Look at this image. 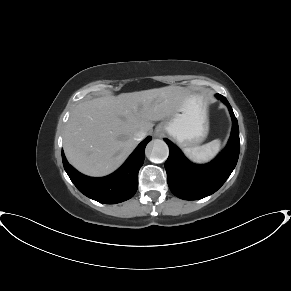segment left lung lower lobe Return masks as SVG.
<instances>
[{"mask_svg":"<svg viewBox=\"0 0 291 291\" xmlns=\"http://www.w3.org/2000/svg\"><path fill=\"white\" fill-rule=\"evenodd\" d=\"M224 102L230 111L233 126L226 148L210 163L196 165L191 163L168 139L169 157L165 163L167 181L172 193L185 200H198L216 192L227 180L236 166L240 151L237 119L227 99L215 95Z\"/></svg>","mask_w":291,"mask_h":291,"instance_id":"obj_1","label":"left lung lower lobe"}]
</instances>
